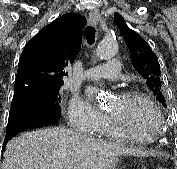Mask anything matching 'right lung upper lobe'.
I'll use <instances>...</instances> for the list:
<instances>
[{"mask_svg": "<svg viewBox=\"0 0 177 169\" xmlns=\"http://www.w3.org/2000/svg\"><path fill=\"white\" fill-rule=\"evenodd\" d=\"M83 16L67 13L51 22L25 45L21 55L14 93L29 84L62 85L63 70L80 51Z\"/></svg>", "mask_w": 177, "mask_h": 169, "instance_id": "1", "label": "right lung upper lobe"}]
</instances>
